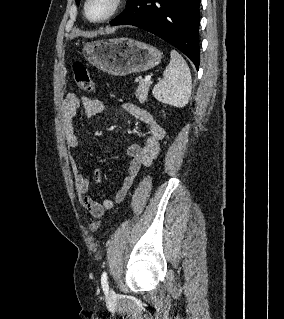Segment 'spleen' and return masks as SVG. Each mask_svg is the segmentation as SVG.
Returning <instances> with one entry per match:
<instances>
[{
  "instance_id": "spleen-1",
  "label": "spleen",
  "mask_w": 284,
  "mask_h": 319,
  "mask_svg": "<svg viewBox=\"0 0 284 319\" xmlns=\"http://www.w3.org/2000/svg\"><path fill=\"white\" fill-rule=\"evenodd\" d=\"M171 60L163 73V79L153 88V96L160 102L184 107L190 98L192 80L189 67L183 57L172 50Z\"/></svg>"
}]
</instances>
